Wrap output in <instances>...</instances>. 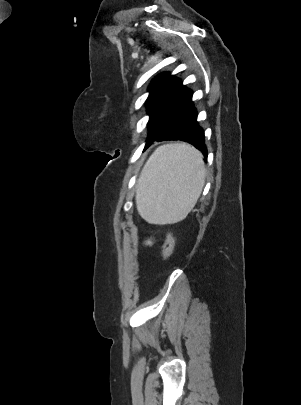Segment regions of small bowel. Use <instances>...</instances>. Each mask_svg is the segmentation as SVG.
<instances>
[{
  "mask_svg": "<svg viewBox=\"0 0 301 405\" xmlns=\"http://www.w3.org/2000/svg\"><path fill=\"white\" fill-rule=\"evenodd\" d=\"M152 244V241L151 240H146L145 241V245H151Z\"/></svg>",
  "mask_w": 301,
  "mask_h": 405,
  "instance_id": "1",
  "label": "small bowel"
}]
</instances>
